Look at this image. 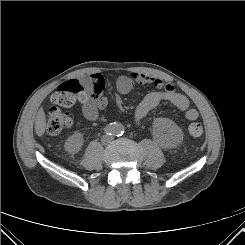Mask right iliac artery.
<instances>
[{
  "instance_id": "82829eb1",
  "label": "right iliac artery",
  "mask_w": 245,
  "mask_h": 245,
  "mask_svg": "<svg viewBox=\"0 0 245 245\" xmlns=\"http://www.w3.org/2000/svg\"><path fill=\"white\" fill-rule=\"evenodd\" d=\"M104 132L107 135H113L115 134V126L113 124H109L104 128Z\"/></svg>"
}]
</instances>
